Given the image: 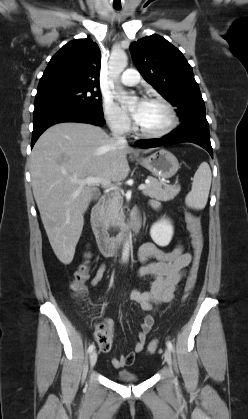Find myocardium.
Instances as JSON below:
<instances>
[{"label": "myocardium", "instance_id": "myocardium-1", "mask_svg": "<svg viewBox=\"0 0 248 419\" xmlns=\"http://www.w3.org/2000/svg\"><path fill=\"white\" fill-rule=\"evenodd\" d=\"M147 101L156 102V103L161 104L166 109V111L169 115V122L161 130L155 131V132H149V131H145V130L141 129L139 127L137 121H135L134 131L136 132L137 135H139L143 138H148V139H158V138H162V137L167 136L177 127L178 121H179L178 114H177L174 106L166 98H164L162 96H151L147 99Z\"/></svg>", "mask_w": 248, "mask_h": 419}]
</instances>
